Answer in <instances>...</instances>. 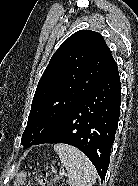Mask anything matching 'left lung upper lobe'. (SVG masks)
I'll return each mask as SVG.
<instances>
[{
    "mask_svg": "<svg viewBox=\"0 0 138 186\" xmlns=\"http://www.w3.org/2000/svg\"><path fill=\"white\" fill-rule=\"evenodd\" d=\"M116 65L101 34L80 30L66 39L39 80L21 144L50 132Z\"/></svg>",
    "mask_w": 138,
    "mask_h": 186,
    "instance_id": "5c2ea615",
    "label": "left lung upper lobe"
}]
</instances>
